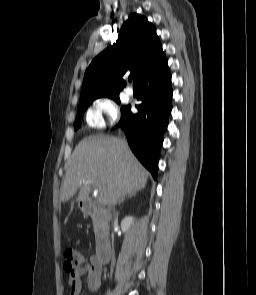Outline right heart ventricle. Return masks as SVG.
Wrapping results in <instances>:
<instances>
[{
	"mask_svg": "<svg viewBox=\"0 0 256 295\" xmlns=\"http://www.w3.org/2000/svg\"><path fill=\"white\" fill-rule=\"evenodd\" d=\"M87 121H88V124L91 126V127H95L98 125V122L93 114V112H90L88 114V117H87Z\"/></svg>",
	"mask_w": 256,
	"mask_h": 295,
	"instance_id": "obj_1",
	"label": "right heart ventricle"
}]
</instances>
